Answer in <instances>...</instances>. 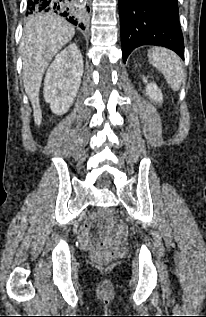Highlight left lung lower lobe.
I'll return each mask as SVG.
<instances>
[{
  "mask_svg": "<svg viewBox=\"0 0 206 317\" xmlns=\"http://www.w3.org/2000/svg\"><path fill=\"white\" fill-rule=\"evenodd\" d=\"M123 61L141 45H158L184 59L177 0H119Z\"/></svg>",
  "mask_w": 206,
  "mask_h": 317,
  "instance_id": "obj_1",
  "label": "left lung lower lobe"
}]
</instances>
